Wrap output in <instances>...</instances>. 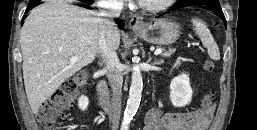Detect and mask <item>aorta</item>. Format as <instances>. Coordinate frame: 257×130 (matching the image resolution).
<instances>
[{"label": "aorta", "mask_w": 257, "mask_h": 130, "mask_svg": "<svg viewBox=\"0 0 257 130\" xmlns=\"http://www.w3.org/2000/svg\"><path fill=\"white\" fill-rule=\"evenodd\" d=\"M143 81L142 75L138 67L133 69L129 97L127 100L126 109L124 111V119L122 129L127 130L131 120L136 114L142 95Z\"/></svg>", "instance_id": "aorta-1"}]
</instances>
